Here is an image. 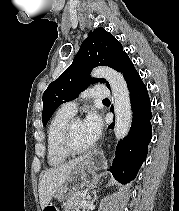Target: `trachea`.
I'll return each mask as SVG.
<instances>
[{
    "mask_svg": "<svg viewBox=\"0 0 179 211\" xmlns=\"http://www.w3.org/2000/svg\"><path fill=\"white\" fill-rule=\"evenodd\" d=\"M103 101H109V99H104Z\"/></svg>",
    "mask_w": 179,
    "mask_h": 211,
    "instance_id": "trachea-1",
    "label": "trachea"
}]
</instances>
